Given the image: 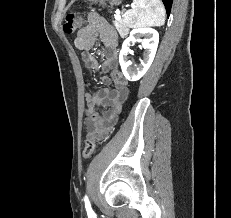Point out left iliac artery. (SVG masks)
<instances>
[{
  "label": "left iliac artery",
  "mask_w": 231,
  "mask_h": 218,
  "mask_svg": "<svg viewBox=\"0 0 231 218\" xmlns=\"http://www.w3.org/2000/svg\"><path fill=\"white\" fill-rule=\"evenodd\" d=\"M84 201H85V208H86L87 213L91 214L93 211H92V208H91V205H90V202L87 196H85Z\"/></svg>",
  "instance_id": "left-iliac-artery-1"
}]
</instances>
